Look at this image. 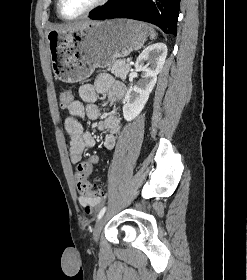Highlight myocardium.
Returning <instances> with one entry per match:
<instances>
[{
    "label": "myocardium",
    "instance_id": "f54148a6",
    "mask_svg": "<svg viewBox=\"0 0 247 280\" xmlns=\"http://www.w3.org/2000/svg\"><path fill=\"white\" fill-rule=\"evenodd\" d=\"M108 1L109 0H97L92 6H90L88 9H86L81 14L74 16V17H67L62 12V0H57V13L61 19L66 20V21H73V20L81 19V18L89 15L93 11H95L98 8H100L101 6L105 5Z\"/></svg>",
    "mask_w": 247,
    "mask_h": 280
}]
</instances>
